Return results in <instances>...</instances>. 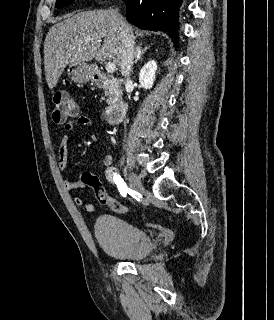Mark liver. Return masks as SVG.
<instances>
[{"mask_svg":"<svg viewBox=\"0 0 274 320\" xmlns=\"http://www.w3.org/2000/svg\"><path fill=\"white\" fill-rule=\"evenodd\" d=\"M119 18L122 16H114L113 10H92L70 14L68 20L50 28L44 42V68L50 90L68 64H86L95 58L96 62L112 60L121 66Z\"/></svg>","mask_w":274,"mask_h":320,"instance_id":"obj_1","label":"liver"}]
</instances>
